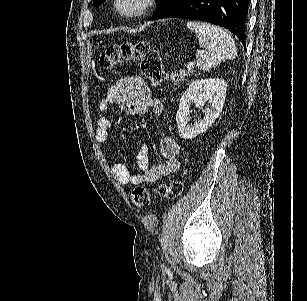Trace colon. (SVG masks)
Returning <instances> with one entry per match:
<instances>
[{
  "instance_id": "5ec220e1",
  "label": "colon",
  "mask_w": 307,
  "mask_h": 301,
  "mask_svg": "<svg viewBox=\"0 0 307 301\" xmlns=\"http://www.w3.org/2000/svg\"><path fill=\"white\" fill-rule=\"evenodd\" d=\"M136 61L140 65L141 72L152 85H159L164 79V72L160 54L146 41L123 42L109 46L99 58L101 69L110 70L121 62ZM183 183L172 180L167 184L156 186H136L130 193L132 202L138 208H145L150 203L152 195H158L167 199L179 197L183 192Z\"/></svg>"
}]
</instances>
